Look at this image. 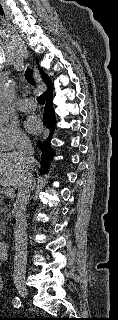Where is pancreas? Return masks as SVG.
<instances>
[{"label":"pancreas","mask_w":118,"mask_h":320,"mask_svg":"<svg viewBox=\"0 0 118 320\" xmlns=\"http://www.w3.org/2000/svg\"><path fill=\"white\" fill-rule=\"evenodd\" d=\"M2 205H3V197L0 196V212L6 213V212H7V208H1ZM4 218H5L6 220H8V219L10 218V215L7 214V215L4 216ZM0 232H2L3 234H5L4 222H2V221L0 222ZM0 237H1V236H0Z\"/></svg>","instance_id":"1"}]
</instances>
